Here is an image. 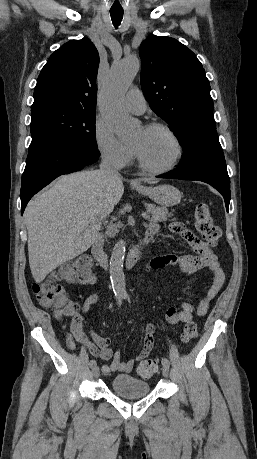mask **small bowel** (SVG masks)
<instances>
[{
    "instance_id": "small-bowel-1",
    "label": "small bowel",
    "mask_w": 257,
    "mask_h": 459,
    "mask_svg": "<svg viewBox=\"0 0 257 459\" xmlns=\"http://www.w3.org/2000/svg\"><path fill=\"white\" fill-rule=\"evenodd\" d=\"M169 229L172 233L180 236L190 246L194 253L182 256H159L150 261L148 268L150 270H157L164 267H178L187 275L195 274L202 269H208L213 275L212 285L199 302L197 308L190 302H182L179 308L171 306L166 310L165 317L167 322L175 325L191 322L195 313L204 315L212 299L223 287L225 275L211 248L204 241L200 240L192 229L180 222H172ZM148 230L157 233L159 231V224L156 222L150 223L147 231ZM98 300L99 295L94 293L85 300L82 306L77 305L76 317L72 318L70 330L66 334L67 346L71 350L75 349L76 344L74 340H76L82 343L93 356L104 361L112 360L111 364L103 366L102 371L104 375H109L115 371L129 373L133 370L136 362L145 359L152 351L156 326L154 324H149L145 328L144 343L137 357L122 361L121 352L117 351L114 353L111 349L109 338L91 332V339H89L83 330L85 324L84 315L98 302Z\"/></svg>"
}]
</instances>
